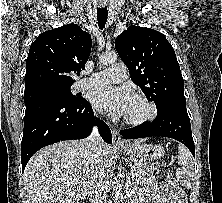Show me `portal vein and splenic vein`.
<instances>
[{
  "instance_id": "1",
  "label": "portal vein and splenic vein",
  "mask_w": 222,
  "mask_h": 203,
  "mask_svg": "<svg viewBox=\"0 0 222 203\" xmlns=\"http://www.w3.org/2000/svg\"><path fill=\"white\" fill-rule=\"evenodd\" d=\"M133 169H135V167H134V166H133V167H131V172H132V170H133Z\"/></svg>"
}]
</instances>
